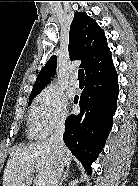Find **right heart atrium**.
Instances as JSON below:
<instances>
[{
  "label": "right heart atrium",
  "mask_w": 138,
  "mask_h": 186,
  "mask_svg": "<svg viewBox=\"0 0 138 186\" xmlns=\"http://www.w3.org/2000/svg\"><path fill=\"white\" fill-rule=\"evenodd\" d=\"M37 119L45 135L60 129L67 119L66 101L55 86H47L37 99Z\"/></svg>",
  "instance_id": "d8ad5b80"
}]
</instances>
